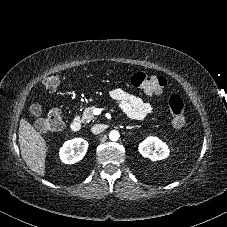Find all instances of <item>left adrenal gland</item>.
<instances>
[{
  "label": "left adrenal gland",
  "instance_id": "left-adrenal-gland-1",
  "mask_svg": "<svg viewBox=\"0 0 227 227\" xmlns=\"http://www.w3.org/2000/svg\"><path fill=\"white\" fill-rule=\"evenodd\" d=\"M138 126H127L126 129H133V128H137Z\"/></svg>",
  "mask_w": 227,
  "mask_h": 227
}]
</instances>
